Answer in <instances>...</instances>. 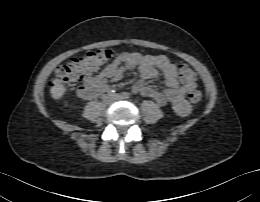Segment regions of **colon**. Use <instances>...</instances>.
Here are the masks:
<instances>
[{
	"label": "colon",
	"mask_w": 260,
	"mask_h": 202,
	"mask_svg": "<svg viewBox=\"0 0 260 202\" xmlns=\"http://www.w3.org/2000/svg\"><path fill=\"white\" fill-rule=\"evenodd\" d=\"M111 56V51L108 49L92 52L59 68L53 82L76 86L102 68L110 60ZM179 74L181 80L185 83L193 82L196 79L195 72L185 64L180 65ZM201 97L202 95L198 90H194L189 94V99L194 104H198Z\"/></svg>",
	"instance_id": "obj_1"
}]
</instances>
